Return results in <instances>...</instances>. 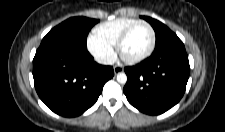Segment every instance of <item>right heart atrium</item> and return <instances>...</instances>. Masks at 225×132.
<instances>
[{
    "mask_svg": "<svg viewBox=\"0 0 225 132\" xmlns=\"http://www.w3.org/2000/svg\"><path fill=\"white\" fill-rule=\"evenodd\" d=\"M87 48L94 58L102 64H110L115 59L113 47L100 41L94 35L88 37Z\"/></svg>",
    "mask_w": 225,
    "mask_h": 132,
    "instance_id": "obj_1",
    "label": "right heart atrium"
}]
</instances>
